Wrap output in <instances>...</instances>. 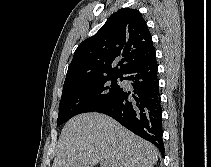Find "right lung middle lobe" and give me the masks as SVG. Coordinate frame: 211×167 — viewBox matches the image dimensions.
Masks as SVG:
<instances>
[{"instance_id": "1", "label": "right lung middle lobe", "mask_w": 211, "mask_h": 167, "mask_svg": "<svg viewBox=\"0 0 211 167\" xmlns=\"http://www.w3.org/2000/svg\"><path fill=\"white\" fill-rule=\"evenodd\" d=\"M118 79L124 80L123 76H104L63 87L57 126L77 114L95 112L109 104L123 90Z\"/></svg>"}]
</instances>
